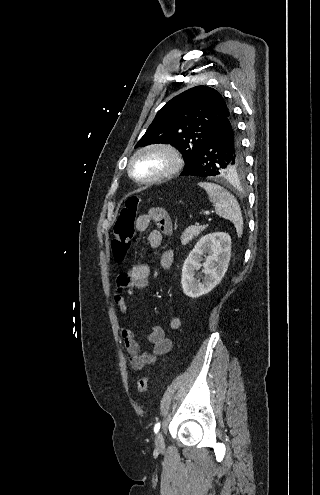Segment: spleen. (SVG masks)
Returning a JSON list of instances; mask_svg holds the SVG:
<instances>
[{"mask_svg": "<svg viewBox=\"0 0 320 495\" xmlns=\"http://www.w3.org/2000/svg\"><path fill=\"white\" fill-rule=\"evenodd\" d=\"M199 186L208 193L217 215L231 221L238 237L243 233V218L236 198L223 187L209 182H200Z\"/></svg>", "mask_w": 320, "mask_h": 495, "instance_id": "1", "label": "spleen"}]
</instances>
